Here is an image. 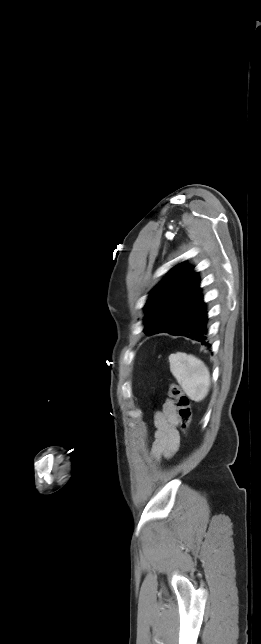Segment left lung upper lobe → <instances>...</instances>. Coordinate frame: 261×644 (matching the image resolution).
Instances as JSON below:
<instances>
[{"label": "left lung upper lobe", "mask_w": 261, "mask_h": 644, "mask_svg": "<svg viewBox=\"0 0 261 644\" xmlns=\"http://www.w3.org/2000/svg\"><path fill=\"white\" fill-rule=\"evenodd\" d=\"M198 273L181 263L150 293L145 305L144 332H166L189 320L204 304Z\"/></svg>", "instance_id": "obj_1"}]
</instances>
